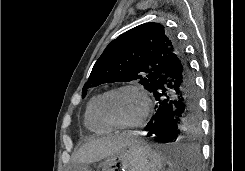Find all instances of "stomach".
<instances>
[{
    "label": "stomach",
    "instance_id": "0dacf381",
    "mask_svg": "<svg viewBox=\"0 0 245 171\" xmlns=\"http://www.w3.org/2000/svg\"><path fill=\"white\" fill-rule=\"evenodd\" d=\"M102 171H161L163 159L149 145L136 141L110 155L100 163ZM74 171H90L87 166H77Z\"/></svg>",
    "mask_w": 245,
    "mask_h": 171
}]
</instances>
